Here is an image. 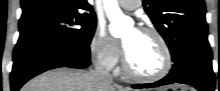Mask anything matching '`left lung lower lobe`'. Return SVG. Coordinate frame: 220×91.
<instances>
[{
  "instance_id": "0a47b994",
  "label": "left lung lower lobe",
  "mask_w": 220,
  "mask_h": 91,
  "mask_svg": "<svg viewBox=\"0 0 220 91\" xmlns=\"http://www.w3.org/2000/svg\"><path fill=\"white\" fill-rule=\"evenodd\" d=\"M172 83L191 85L199 91H214L216 84L212 69L211 49L185 51L179 60L173 64L170 73L165 78L151 84H134L132 87L149 88Z\"/></svg>"
}]
</instances>
